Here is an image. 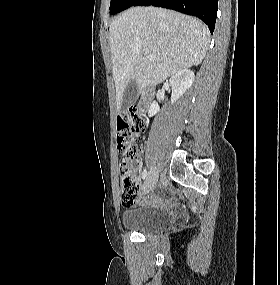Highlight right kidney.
Returning <instances> with one entry per match:
<instances>
[{
  "label": "right kidney",
  "instance_id": "obj_1",
  "mask_svg": "<svg viewBox=\"0 0 280 285\" xmlns=\"http://www.w3.org/2000/svg\"><path fill=\"white\" fill-rule=\"evenodd\" d=\"M195 79L194 73L189 69H182L175 73L170 78V84L172 87L171 103L176 102L186 91L189 89ZM160 108L156 101H154L149 108V117L154 116L159 112Z\"/></svg>",
  "mask_w": 280,
  "mask_h": 285
}]
</instances>
